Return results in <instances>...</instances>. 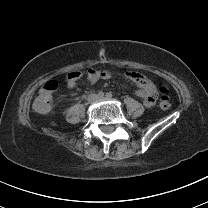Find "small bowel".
<instances>
[{
	"mask_svg": "<svg viewBox=\"0 0 208 208\" xmlns=\"http://www.w3.org/2000/svg\"><path fill=\"white\" fill-rule=\"evenodd\" d=\"M86 73L91 81H96L100 78H106L110 75V72L107 70H97L93 71L92 67L86 68ZM126 77L133 80L138 84L140 90L137 91L136 95L143 100V103L147 107H151L156 99V89L150 79L142 74L137 72H126ZM68 87L74 88L75 86H70L67 83Z\"/></svg>",
	"mask_w": 208,
	"mask_h": 208,
	"instance_id": "obj_1",
	"label": "small bowel"
}]
</instances>
